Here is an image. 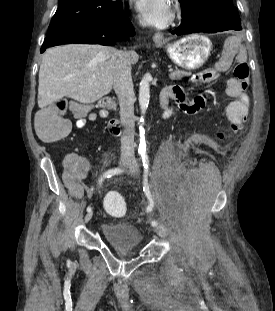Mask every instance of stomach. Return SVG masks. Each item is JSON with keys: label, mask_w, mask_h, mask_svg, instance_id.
I'll return each mask as SVG.
<instances>
[{"label": "stomach", "mask_w": 275, "mask_h": 311, "mask_svg": "<svg viewBox=\"0 0 275 311\" xmlns=\"http://www.w3.org/2000/svg\"><path fill=\"white\" fill-rule=\"evenodd\" d=\"M170 59L184 69L201 67L211 52V42L203 35L193 34L165 45Z\"/></svg>", "instance_id": "stomach-1"}]
</instances>
